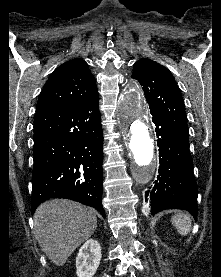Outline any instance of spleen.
Listing matches in <instances>:
<instances>
[{
	"instance_id": "obj_1",
	"label": "spleen",
	"mask_w": 221,
	"mask_h": 277,
	"mask_svg": "<svg viewBox=\"0 0 221 277\" xmlns=\"http://www.w3.org/2000/svg\"><path fill=\"white\" fill-rule=\"evenodd\" d=\"M172 224L181 235H187L191 228V219L187 214H177L172 217Z\"/></svg>"
}]
</instances>
